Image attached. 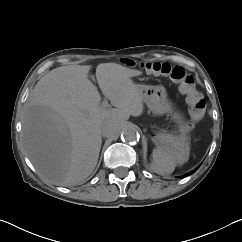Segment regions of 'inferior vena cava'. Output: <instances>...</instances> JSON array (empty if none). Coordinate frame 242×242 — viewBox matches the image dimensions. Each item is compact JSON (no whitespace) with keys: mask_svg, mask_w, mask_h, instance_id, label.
Listing matches in <instances>:
<instances>
[{"mask_svg":"<svg viewBox=\"0 0 242 242\" xmlns=\"http://www.w3.org/2000/svg\"><path fill=\"white\" fill-rule=\"evenodd\" d=\"M119 131L120 126L118 121L113 118H106L102 122L98 135L103 140H114L117 138Z\"/></svg>","mask_w":242,"mask_h":242,"instance_id":"602c4592","label":"inferior vena cava"}]
</instances>
